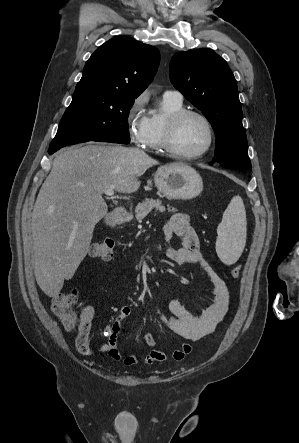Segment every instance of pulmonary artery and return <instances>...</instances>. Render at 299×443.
<instances>
[{
  "instance_id": "obj_1",
  "label": "pulmonary artery",
  "mask_w": 299,
  "mask_h": 443,
  "mask_svg": "<svg viewBox=\"0 0 299 443\" xmlns=\"http://www.w3.org/2000/svg\"><path fill=\"white\" fill-rule=\"evenodd\" d=\"M164 97L172 99L174 101L177 102H182L183 101V95L181 92L177 91V90H167L164 92Z\"/></svg>"
}]
</instances>
